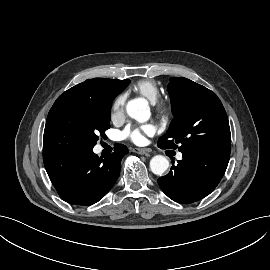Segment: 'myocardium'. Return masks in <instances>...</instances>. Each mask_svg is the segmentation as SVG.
I'll list each match as a JSON object with an SVG mask.
<instances>
[{"instance_id": "1", "label": "myocardium", "mask_w": 270, "mask_h": 270, "mask_svg": "<svg viewBox=\"0 0 270 270\" xmlns=\"http://www.w3.org/2000/svg\"><path fill=\"white\" fill-rule=\"evenodd\" d=\"M155 110L157 114L164 118L167 119L171 115V104L167 100H157L155 103Z\"/></svg>"}]
</instances>
